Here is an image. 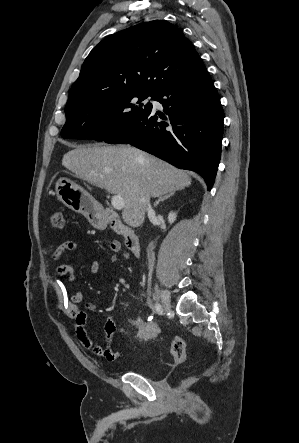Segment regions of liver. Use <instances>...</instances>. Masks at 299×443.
Returning <instances> with one entry per match:
<instances>
[{
  "label": "liver",
  "mask_w": 299,
  "mask_h": 443,
  "mask_svg": "<svg viewBox=\"0 0 299 443\" xmlns=\"http://www.w3.org/2000/svg\"><path fill=\"white\" fill-rule=\"evenodd\" d=\"M62 165L83 179L124 199L123 221L143 224L146 199L182 190L191 184L186 172L131 146H77Z\"/></svg>",
  "instance_id": "obj_1"
}]
</instances>
